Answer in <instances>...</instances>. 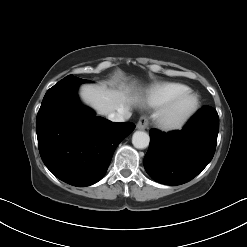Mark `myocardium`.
<instances>
[{
  "instance_id": "f54148a6",
  "label": "myocardium",
  "mask_w": 247,
  "mask_h": 247,
  "mask_svg": "<svg viewBox=\"0 0 247 247\" xmlns=\"http://www.w3.org/2000/svg\"><path fill=\"white\" fill-rule=\"evenodd\" d=\"M188 99L191 100L189 107L183 112H179V105ZM199 107L200 97L196 92L191 90L181 92L158 110L156 114L157 126L165 132L181 130L195 116Z\"/></svg>"
}]
</instances>
